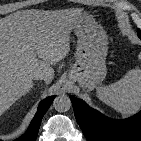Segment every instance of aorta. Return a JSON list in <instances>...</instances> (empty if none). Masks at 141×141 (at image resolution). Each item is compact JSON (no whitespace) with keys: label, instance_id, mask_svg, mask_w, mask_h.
Returning <instances> with one entry per match:
<instances>
[{"label":"aorta","instance_id":"762f6f07","mask_svg":"<svg viewBox=\"0 0 141 141\" xmlns=\"http://www.w3.org/2000/svg\"><path fill=\"white\" fill-rule=\"evenodd\" d=\"M53 107L58 112H66L71 107V101L68 96L60 95L57 96L53 101Z\"/></svg>","mask_w":141,"mask_h":141}]
</instances>
